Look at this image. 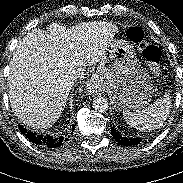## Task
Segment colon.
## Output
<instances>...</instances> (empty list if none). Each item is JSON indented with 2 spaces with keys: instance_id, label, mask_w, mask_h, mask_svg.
Listing matches in <instances>:
<instances>
[{
  "instance_id": "obj_1",
  "label": "colon",
  "mask_w": 183,
  "mask_h": 183,
  "mask_svg": "<svg viewBox=\"0 0 183 183\" xmlns=\"http://www.w3.org/2000/svg\"><path fill=\"white\" fill-rule=\"evenodd\" d=\"M127 37L138 45L139 52L144 60L151 66L155 73L160 72V62L162 59L161 49L144 41V31L142 28L134 26L127 30Z\"/></svg>"
}]
</instances>
